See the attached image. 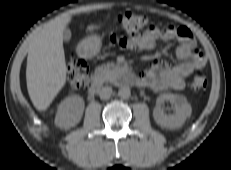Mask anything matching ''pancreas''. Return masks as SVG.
<instances>
[{
    "label": "pancreas",
    "mask_w": 231,
    "mask_h": 170,
    "mask_svg": "<svg viewBox=\"0 0 231 170\" xmlns=\"http://www.w3.org/2000/svg\"><path fill=\"white\" fill-rule=\"evenodd\" d=\"M118 67L114 63L103 64L95 69L94 78L105 80H111L115 76V72Z\"/></svg>",
    "instance_id": "cf45deb5"
}]
</instances>
